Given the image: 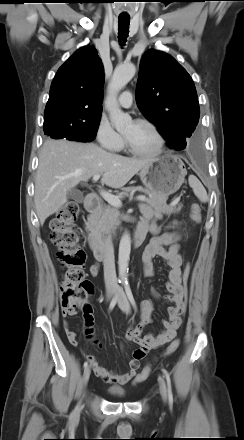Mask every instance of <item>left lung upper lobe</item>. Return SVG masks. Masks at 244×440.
<instances>
[{
  "mask_svg": "<svg viewBox=\"0 0 244 440\" xmlns=\"http://www.w3.org/2000/svg\"><path fill=\"white\" fill-rule=\"evenodd\" d=\"M136 101L170 148L186 147L199 120V102L192 78L172 56L156 50L143 55Z\"/></svg>",
  "mask_w": 244,
  "mask_h": 440,
  "instance_id": "1",
  "label": "left lung upper lobe"
}]
</instances>
